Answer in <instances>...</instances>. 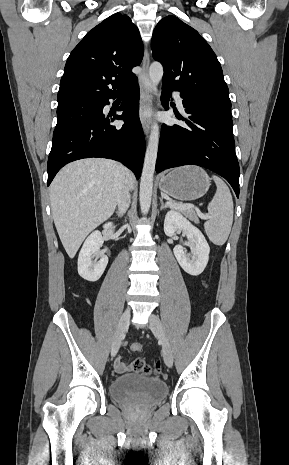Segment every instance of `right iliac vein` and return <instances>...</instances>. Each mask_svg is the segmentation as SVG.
<instances>
[{
	"label": "right iliac vein",
	"instance_id": "1",
	"mask_svg": "<svg viewBox=\"0 0 289 465\" xmlns=\"http://www.w3.org/2000/svg\"><path fill=\"white\" fill-rule=\"evenodd\" d=\"M130 309L127 308L122 314L111 347V355L115 356L120 348L121 341L128 329L130 320Z\"/></svg>",
	"mask_w": 289,
	"mask_h": 465
}]
</instances>
